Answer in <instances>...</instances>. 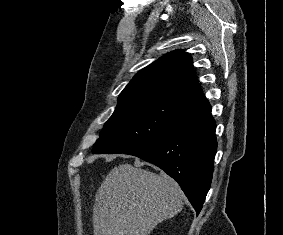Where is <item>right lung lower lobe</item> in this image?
<instances>
[{
	"instance_id": "obj_1",
	"label": "right lung lower lobe",
	"mask_w": 283,
	"mask_h": 235,
	"mask_svg": "<svg viewBox=\"0 0 283 235\" xmlns=\"http://www.w3.org/2000/svg\"><path fill=\"white\" fill-rule=\"evenodd\" d=\"M216 124L204 97L190 104L166 132L125 154L155 164L174 178L197 214L211 185L217 149Z\"/></svg>"
}]
</instances>
